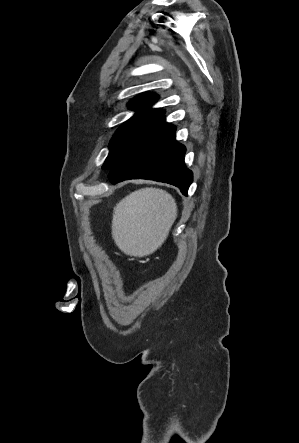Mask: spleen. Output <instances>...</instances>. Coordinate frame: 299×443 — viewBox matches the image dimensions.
Listing matches in <instances>:
<instances>
[{"label": "spleen", "instance_id": "spleen-1", "mask_svg": "<svg viewBox=\"0 0 299 443\" xmlns=\"http://www.w3.org/2000/svg\"><path fill=\"white\" fill-rule=\"evenodd\" d=\"M177 217L170 194L159 189H142L122 199L114 208L112 236L127 254L143 256L166 239Z\"/></svg>", "mask_w": 299, "mask_h": 443}]
</instances>
